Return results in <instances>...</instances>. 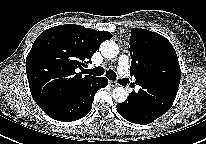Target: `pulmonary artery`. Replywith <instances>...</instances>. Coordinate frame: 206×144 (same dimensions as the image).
Instances as JSON below:
<instances>
[{
	"label": "pulmonary artery",
	"mask_w": 206,
	"mask_h": 144,
	"mask_svg": "<svg viewBox=\"0 0 206 144\" xmlns=\"http://www.w3.org/2000/svg\"><path fill=\"white\" fill-rule=\"evenodd\" d=\"M118 72L122 77H127L129 74V60L126 55H121L118 59Z\"/></svg>",
	"instance_id": "e3ab8cb5"
}]
</instances>
